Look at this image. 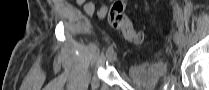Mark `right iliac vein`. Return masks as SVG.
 Wrapping results in <instances>:
<instances>
[{"instance_id":"1","label":"right iliac vein","mask_w":209,"mask_h":90,"mask_svg":"<svg viewBox=\"0 0 209 90\" xmlns=\"http://www.w3.org/2000/svg\"><path fill=\"white\" fill-rule=\"evenodd\" d=\"M117 58V54L115 51H112L108 56H107V60L109 62H114Z\"/></svg>"}]
</instances>
